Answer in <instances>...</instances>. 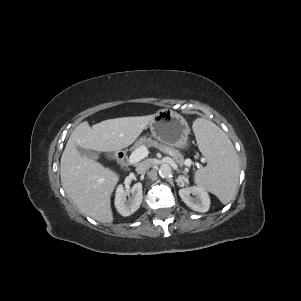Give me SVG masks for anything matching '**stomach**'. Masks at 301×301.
<instances>
[{"mask_svg":"<svg viewBox=\"0 0 301 301\" xmlns=\"http://www.w3.org/2000/svg\"><path fill=\"white\" fill-rule=\"evenodd\" d=\"M149 125L152 136L159 142L183 150L189 147L190 128L180 114L168 109L160 110L153 115Z\"/></svg>","mask_w":301,"mask_h":301,"instance_id":"obj_1","label":"stomach"}]
</instances>
